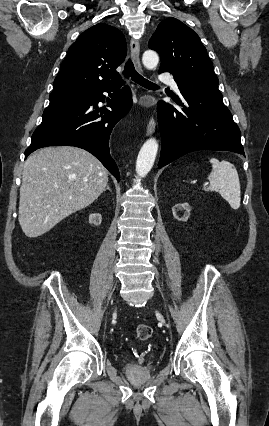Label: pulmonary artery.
<instances>
[{
  "mask_svg": "<svg viewBox=\"0 0 269 426\" xmlns=\"http://www.w3.org/2000/svg\"><path fill=\"white\" fill-rule=\"evenodd\" d=\"M161 80L171 86L175 91H179L178 84L171 75H162Z\"/></svg>",
  "mask_w": 269,
  "mask_h": 426,
  "instance_id": "1",
  "label": "pulmonary artery"
}]
</instances>
